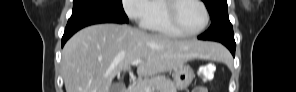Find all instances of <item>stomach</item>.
<instances>
[{"mask_svg": "<svg viewBox=\"0 0 296 92\" xmlns=\"http://www.w3.org/2000/svg\"><path fill=\"white\" fill-rule=\"evenodd\" d=\"M194 78L193 69L189 65H182L175 70L174 83L178 90L186 89Z\"/></svg>", "mask_w": 296, "mask_h": 92, "instance_id": "stomach-1", "label": "stomach"}]
</instances>
